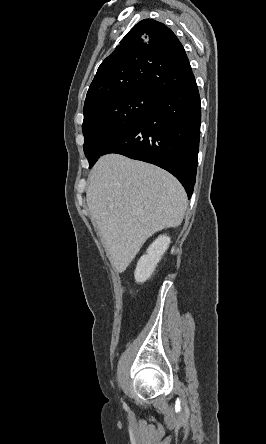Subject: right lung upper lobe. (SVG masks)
<instances>
[{
  "instance_id": "1",
  "label": "right lung upper lobe",
  "mask_w": 266,
  "mask_h": 444,
  "mask_svg": "<svg viewBox=\"0 0 266 444\" xmlns=\"http://www.w3.org/2000/svg\"><path fill=\"white\" fill-rule=\"evenodd\" d=\"M193 79L188 57L172 30L153 19H144L99 66L88 89L84 111L124 92L145 91L161 97Z\"/></svg>"
}]
</instances>
